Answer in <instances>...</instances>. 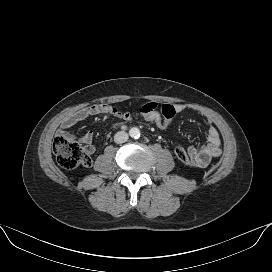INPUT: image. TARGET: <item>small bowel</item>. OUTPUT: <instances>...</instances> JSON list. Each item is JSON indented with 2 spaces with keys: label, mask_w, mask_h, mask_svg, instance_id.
Wrapping results in <instances>:
<instances>
[{
  "label": "small bowel",
  "mask_w": 272,
  "mask_h": 272,
  "mask_svg": "<svg viewBox=\"0 0 272 272\" xmlns=\"http://www.w3.org/2000/svg\"><path fill=\"white\" fill-rule=\"evenodd\" d=\"M143 106L154 108L159 107V105L153 101L148 102ZM175 108L177 113H182L187 109V107L184 104H176ZM100 114H110L124 121L133 120L131 112H120L119 110L108 104L99 103L80 109L64 118L60 124L58 134L66 137H72V135L68 133V130L70 128L91 116ZM204 118L208 125L207 142L200 147L190 146L187 149L189 156L196 163L197 167L206 166L211 161L212 158L219 156L222 152L219 131L209 118L207 117ZM78 140L81 143L85 144V149L87 150L88 153L91 154L95 151V147L93 145L92 131L84 133L82 136L78 138Z\"/></svg>",
  "instance_id": "1"
}]
</instances>
